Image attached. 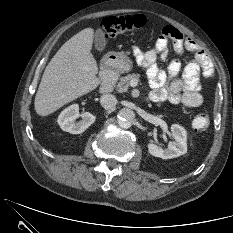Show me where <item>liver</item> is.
<instances>
[{
	"label": "liver",
	"mask_w": 233,
	"mask_h": 233,
	"mask_svg": "<svg viewBox=\"0 0 233 233\" xmlns=\"http://www.w3.org/2000/svg\"><path fill=\"white\" fill-rule=\"evenodd\" d=\"M93 37L92 28L81 30L51 59L35 96L38 115L47 116L98 87V67L91 53Z\"/></svg>",
	"instance_id": "liver-1"
}]
</instances>
